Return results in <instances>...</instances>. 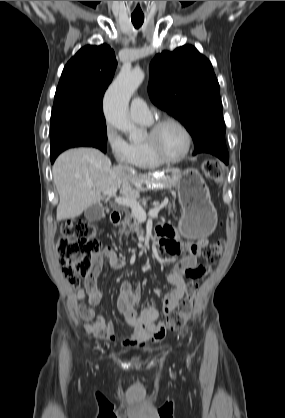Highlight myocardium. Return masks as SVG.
I'll list each match as a JSON object with an SVG mask.
<instances>
[{
    "label": "myocardium",
    "mask_w": 285,
    "mask_h": 418,
    "mask_svg": "<svg viewBox=\"0 0 285 418\" xmlns=\"http://www.w3.org/2000/svg\"><path fill=\"white\" fill-rule=\"evenodd\" d=\"M167 124H173V125H176L177 127H179L182 130V132L184 133L185 138H186L185 150L177 158L166 157L161 152V150L159 149V147L157 146V143H156V139H157V135H158L159 131L162 129L163 126H165ZM145 143H146V146H147L150 154L152 155V157L154 159L161 162L162 164H176V163H180L183 160H185L188 157V155L190 154V151H191V148H192V135H191L189 129L178 119H175L173 117H164V118H161V119L157 120L156 122H154L151 125Z\"/></svg>",
    "instance_id": "1"
}]
</instances>
